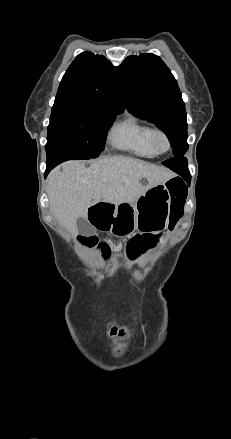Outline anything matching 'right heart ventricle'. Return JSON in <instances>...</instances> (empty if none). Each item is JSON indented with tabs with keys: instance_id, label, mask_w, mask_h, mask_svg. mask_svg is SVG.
Instances as JSON below:
<instances>
[{
	"instance_id": "1",
	"label": "right heart ventricle",
	"mask_w": 231,
	"mask_h": 439,
	"mask_svg": "<svg viewBox=\"0 0 231 439\" xmlns=\"http://www.w3.org/2000/svg\"><path fill=\"white\" fill-rule=\"evenodd\" d=\"M152 131V126L129 115L112 130L111 143L115 148L138 157L153 158L157 153L151 143Z\"/></svg>"
}]
</instances>
